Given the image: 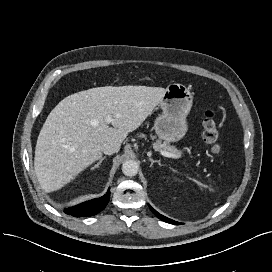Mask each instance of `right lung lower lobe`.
<instances>
[{
  "label": "right lung lower lobe",
  "mask_w": 272,
  "mask_h": 272,
  "mask_svg": "<svg viewBox=\"0 0 272 272\" xmlns=\"http://www.w3.org/2000/svg\"><path fill=\"white\" fill-rule=\"evenodd\" d=\"M110 200V190L107 193L96 199L83 202L74 207L64 209V212L74 217L93 216L103 210Z\"/></svg>",
  "instance_id": "98d812e1"
}]
</instances>
